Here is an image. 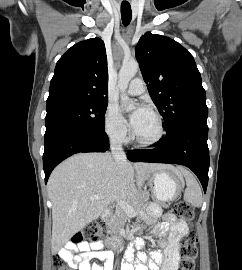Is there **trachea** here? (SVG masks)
Returning <instances> with one entry per match:
<instances>
[{
	"instance_id": "trachea-1",
	"label": "trachea",
	"mask_w": 242,
	"mask_h": 270,
	"mask_svg": "<svg viewBox=\"0 0 242 270\" xmlns=\"http://www.w3.org/2000/svg\"><path fill=\"white\" fill-rule=\"evenodd\" d=\"M121 17L122 22L125 26L129 25L132 17L131 7L130 5H122L121 6Z\"/></svg>"
}]
</instances>
